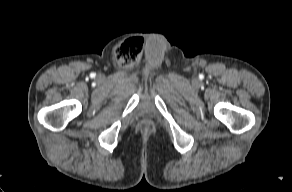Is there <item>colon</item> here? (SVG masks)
<instances>
[{
	"mask_svg": "<svg viewBox=\"0 0 292 192\" xmlns=\"http://www.w3.org/2000/svg\"><path fill=\"white\" fill-rule=\"evenodd\" d=\"M132 45H134L137 50L134 56V59H136V56L139 54L141 46H142V40L140 38L134 39L132 43L122 44V46L120 47V50L118 51V55H122L124 57L126 50L130 48Z\"/></svg>",
	"mask_w": 292,
	"mask_h": 192,
	"instance_id": "colon-1",
	"label": "colon"
}]
</instances>
